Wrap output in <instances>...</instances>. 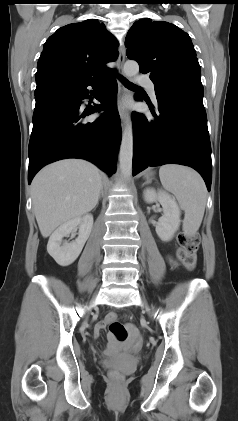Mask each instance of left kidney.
Listing matches in <instances>:
<instances>
[{
	"instance_id": "5707ae66",
	"label": "left kidney",
	"mask_w": 238,
	"mask_h": 421,
	"mask_svg": "<svg viewBox=\"0 0 238 421\" xmlns=\"http://www.w3.org/2000/svg\"><path fill=\"white\" fill-rule=\"evenodd\" d=\"M144 200L147 203L158 201L163 208V215L156 225V233L163 242L170 241L180 226V208L176 201L166 192L153 188H147L143 192Z\"/></svg>"
}]
</instances>
